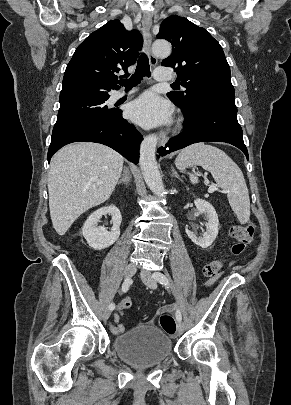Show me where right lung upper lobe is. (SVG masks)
<instances>
[{
  "label": "right lung upper lobe",
  "instance_id": "obj_1",
  "mask_svg": "<svg viewBox=\"0 0 291 405\" xmlns=\"http://www.w3.org/2000/svg\"><path fill=\"white\" fill-rule=\"evenodd\" d=\"M141 34L127 31L119 20H111L91 33L75 50L68 63L59 101L109 97L118 89L115 73L136 62L142 47Z\"/></svg>",
  "mask_w": 291,
  "mask_h": 405
}]
</instances>
